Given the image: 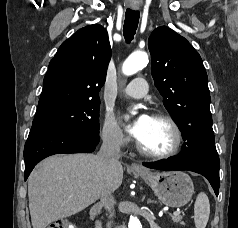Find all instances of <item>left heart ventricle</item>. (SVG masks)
Segmentation results:
<instances>
[{"mask_svg": "<svg viewBox=\"0 0 238 228\" xmlns=\"http://www.w3.org/2000/svg\"><path fill=\"white\" fill-rule=\"evenodd\" d=\"M138 141L147 151L165 152L173 145V130L166 121L150 118L143 135Z\"/></svg>", "mask_w": 238, "mask_h": 228, "instance_id": "left-heart-ventricle-1", "label": "left heart ventricle"}]
</instances>
